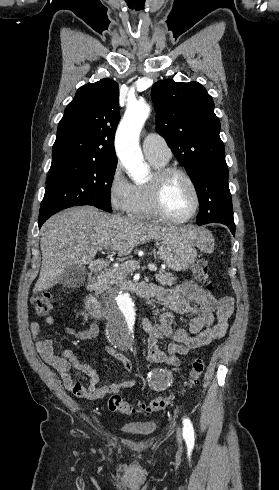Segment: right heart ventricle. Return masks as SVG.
Returning <instances> with one entry per match:
<instances>
[{"label":"right heart ventricle","instance_id":"obj_1","mask_svg":"<svg viewBox=\"0 0 279 490\" xmlns=\"http://www.w3.org/2000/svg\"><path fill=\"white\" fill-rule=\"evenodd\" d=\"M152 165L156 168L164 167L166 163L160 164L156 161L150 160ZM136 192L138 197V203L131 214L134 218L138 219H149L155 217L152 207H151V185L150 183L144 185H137Z\"/></svg>","mask_w":279,"mask_h":490}]
</instances>
